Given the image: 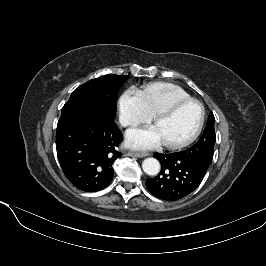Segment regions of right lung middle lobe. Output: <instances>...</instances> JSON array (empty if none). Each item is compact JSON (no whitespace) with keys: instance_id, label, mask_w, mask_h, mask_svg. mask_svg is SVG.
Here are the masks:
<instances>
[{"instance_id":"dd1d6c3e","label":"right lung middle lobe","mask_w":266,"mask_h":266,"mask_svg":"<svg viewBox=\"0 0 266 266\" xmlns=\"http://www.w3.org/2000/svg\"><path fill=\"white\" fill-rule=\"evenodd\" d=\"M128 78L129 76L105 75L84 83L72 92L62 108L61 116L79 114L113 120L118 91Z\"/></svg>"}]
</instances>
